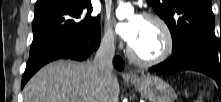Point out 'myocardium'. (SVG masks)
<instances>
[{
    "label": "myocardium",
    "mask_w": 221,
    "mask_h": 102,
    "mask_svg": "<svg viewBox=\"0 0 221 102\" xmlns=\"http://www.w3.org/2000/svg\"><path fill=\"white\" fill-rule=\"evenodd\" d=\"M142 16L144 19L152 21L160 27V29L163 32L164 39H165L164 49L158 56L151 58V59H145V58L140 57L129 44L127 47V54L129 58L138 65L146 66V67L158 65L164 62L165 60H167L173 52V48H174L173 34L169 25L166 23V21L160 16H158L157 14L146 12Z\"/></svg>",
    "instance_id": "obj_1"
}]
</instances>
